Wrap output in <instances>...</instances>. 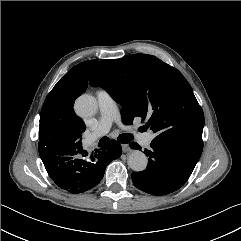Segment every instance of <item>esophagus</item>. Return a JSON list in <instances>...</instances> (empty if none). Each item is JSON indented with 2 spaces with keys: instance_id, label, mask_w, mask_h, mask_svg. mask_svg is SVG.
<instances>
[{
  "instance_id": "obj_1",
  "label": "esophagus",
  "mask_w": 241,
  "mask_h": 241,
  "mask_svg": "<svg viewBox=\"0 0 241 241\" xmlns=\"http://www.w3.org/2000/svg\"><path fill=\"white\" fill-rule=\"evenodd\" d=\"M122 146V150H123V152H129L130 151V147H129V145H127V144H122L121 145Z\"/></svg>"
}]
</instances>
